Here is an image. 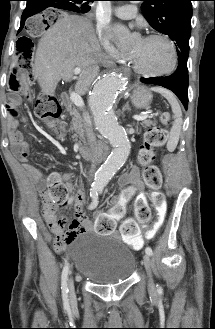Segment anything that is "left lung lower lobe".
<instances>
[{
	"label": "left lung lower lobe",
	"mask_w": 215,
	"mask_h": 329,
	"mask_svg": "<svg viewBox=\"0 0 215 329\" xmlns=\"http://www.w3.org/2000/svg\"><path fill=\"white\" fill-rule=\"evenodd\" d=\"M188 56H180L178 58V67L176 71L170 76L166 77H151L141 78V82L147 84H155L163 86L173 91L176 96L183 103L185 109L188 106V68H187Z\"/></svg>",
	"instance_id": "0a47b994"
}]
</instances>
